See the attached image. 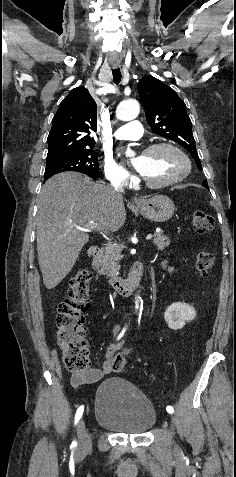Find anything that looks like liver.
Masks as SVG:
<instances>
[{
  "label": "liver",
  "mask_w": 236,
  "mask_h": 477,
  "mask_svg": "<svg viewBox=\"0 0 236 477\" xmlns=\"http://www.w3.org/2000/svg\"><path fill=\"white\" fill-rule=\"evenodd\" d=\"M125 219L123 197L112 187L76 172L47 180L39 195L37 215L38 262L46 288H55L69 274L89 241L82 225L93 222L116 231Z\"/></svg>",
  "instance_id": "liver-1"
}]
</instances>
